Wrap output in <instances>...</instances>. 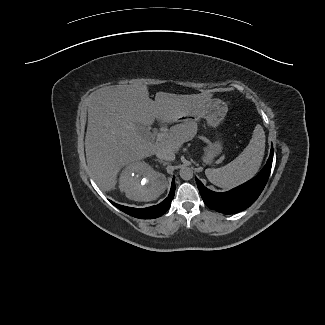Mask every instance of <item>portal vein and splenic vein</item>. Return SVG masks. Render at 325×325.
<instances>
[{
  "label": "portal vein and splenic vein",
  "instance_id": "1",
  "mask_svg": "<svg viewBox=\"0 0 325 325\" xmlns=\"http://www.w3.org/2000/svg\"><path fill=\"white\" fill-rule=\"evenodd\" d=\"M166 137H167V135H166L165 133L160 132V133L157 134V140H158V141H162V140H164Z\"/></svg>",
  "mask_w": 325,
  "mask_h": 325
}]
</instances>
